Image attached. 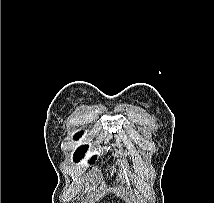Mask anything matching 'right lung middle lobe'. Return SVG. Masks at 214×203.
Masks as SVG:
<instances>
[{
    "mask_svg": "<svg viewBox=\"0 0 214 203\" xmlns=\"http://www.w3.org/2000/svg\"><path fill=\"white\" fill-rule=\"evenodd\" d=\"M82 135V132H79L77 133L74 138L77 140L78 138H80ZM88 146L87 145H83V146H80L75 154H74V161L75 162H78L81 160V158L84 156L86 150H87ZM96 160V156L92 157L91 160H90V163H94V161Z\"/></svg>",
    "mask_w": 214,
    "mask_h": 203,
    "instance_id": "dd1d6c3e",
    "label": "right lung middle lobe"
}]
</instances>
